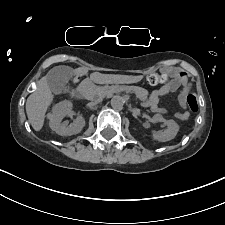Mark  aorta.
I'll return each instance as SVG.
<instances>
[{
	"mask_svg": "<svg viewBox=\"0 0 225 225\" xmlns=\"http://www.w3.org/2000/svg\"><path fill=\"white\" fill-rule=\"evenodd\" d=\"M125 99L120 95H115L111 99V106L115 110H122L124 108Z\"/></svg>",
	"mask_w": 225,
	"mask_h": 225,
	"instance_id": "aorta-1",
	"label": "aorta"
}]
</instances>
